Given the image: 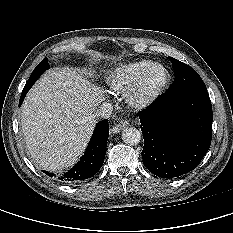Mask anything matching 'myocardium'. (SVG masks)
I'll use <instances>...</instances> for the list:
<instances>
[{
    "label": "myocardium",
    "mask_w": 233,
    "mask_h": 233,
    "mask_svg": "<svg viewBox=\"0 0 233 233\" xmlns=\"http://www.w3.org/2000/svg\"><path fill=\"white\" fill-rule=\"evenodd\" d=\"M161 70L163 79L154 87L148 86V80L154 71ZM170 72L162 64H154L146 70L138 80L127 90V102L136 109H143L151 105L167 88L170 83Z\"/></svg>",
    "instance_id": "f54148a6"
}]
</instances>
